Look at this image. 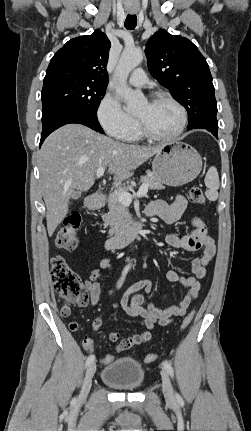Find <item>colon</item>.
<instances>
[{
	"instance_id": "obj_1",
	"label": "colon",
	"mask_w": 251,
	"mask_h": 431,
	"mask_svg": "<svg viewBox=\"0 0 251 431\" xmlns=\"http://www.w3.org/2000/svg\"><path fill=\"white\" fill-rule=\"evenodd\" d=\"M189 199L192 203L198 205L205 204V196L202 189L198 186H192L189 190ZM81 224V217L77 213H72L67 216L59 227L55 243L58 248L64 250H73L78 243L77 231ZM51 276L53 285L58 294L67 302L61 306L60 313L63 317H67L71 312V304L77 306H85L88 302V295L85 291L83 284L77 274L71 269L66 260L60 256L55 255L51 259ZM194 317V312H190L185 316L182 321V329L187 328ZM78 327L77 323L71 321L69 328L74 330ZM81 349L87 356L94 355L97 349L95 341L90 337H85L82 342ZM156 354H148L144 358L145 363H152L157 360ZM117 360L115 353H103L101 355V363H97V368L112 365Z\"/></svg>"
}]
</instances>
